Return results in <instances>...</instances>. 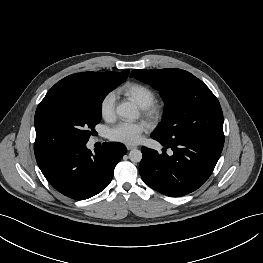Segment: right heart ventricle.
<instances>
[{"label":"right heart ventricle","mask_w":263,"mask_h":263,"mask_svg":"<svg viewBox=\"0 0 263 263\" xmlns=\"http://www.w3.org/2000/svg\"><path fill=\"white\" fill-rule=\"evenodd\" d=\"M118 92L133 101L140 108L146 107L155 101V91L143 83L128 82L122 85Z\"/></svg>","instance_id":"e07e8e85"}]
</instances>
